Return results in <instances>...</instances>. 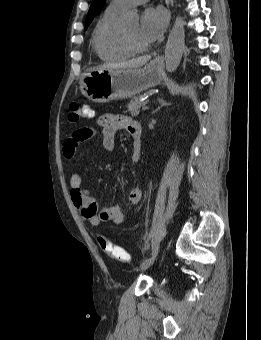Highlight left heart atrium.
I'll return each mask as SVG.
<instances>
[{"label": "left heart atrium", "mask_w": 261, "mask_h": 340, "mask_svg": "<svg viewBox=\"0 0 261 340\" xmlns=\"http://www.w3.org/2000/svg\"><path fill=\"white\" fill-rule=\"evenodd\" d=\"M167 24L168 13L163 7H149L141 16L140 35L147 45H150L161 38Z\"/></svg>", "instance_id": "1"}]
</instances>
